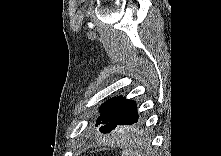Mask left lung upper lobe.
I'll list each match as a JSON object with an SVG mask.
<instances>
[{
  "label": "left lung upper lobe",
  "mask_w": 221,
  "mask_h": 156,
  "mask_svg": "<svg viewBox=\"0 0 221 156\" xmlns=\"http://www.w3.org/2000/svg\"><path fill=\"white\" fill-rule=\"evenodd\" d=\"M100 116L96 126L100 125L99 131L109 133L119 126L132 125L138 122L137 104L119 96L107 100L100 107Z\"/></svg>",
  "instance_id": "5c2ea615"
}]
</instances>
